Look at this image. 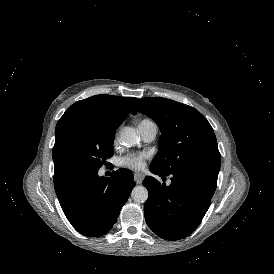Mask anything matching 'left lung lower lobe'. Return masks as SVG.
Here are the masks:
<instances>
[{"label":"left lung lower lobe","mask_w":274,"mask_h":274,"mask_svg":"<svg viewBox=\"0 0 274 274\" xmlns=\"http://www.w3.org/2000/svg\"><path fill=\"white\" fill-rule=\"evenodd\" d=\"M158 176L171 177L167 186L147 176L143 185L149 191L145 202V219L150 229L167 240L187 237L200 224L217 186L218 174L202 170L165 173L150 166Z\"/></svg>","instance_id":"obj_1"}]
</instances>
